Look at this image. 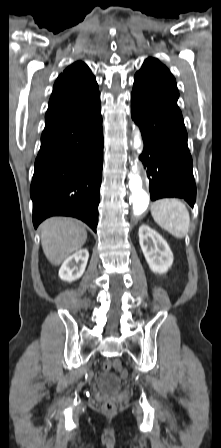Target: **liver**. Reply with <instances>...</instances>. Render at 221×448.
<instances>
[{
    "label": "liver",
    "instance_id": "6515ba94",
    "mask_svg": "<svg viewBox=\"0 0 221 448\" xmlns=\"http://www.w3.org/2000/svg\"><path fill=\"white\" fill-rule=\"evenodd\" d=\"M41 245L48 261L60 265L69 255L78 251L87 240L81 224L70 218L53 217L41 226Z\"/></svg>",
    "mask_w": 221,
    "mask_h": 448
}]
</instances>
